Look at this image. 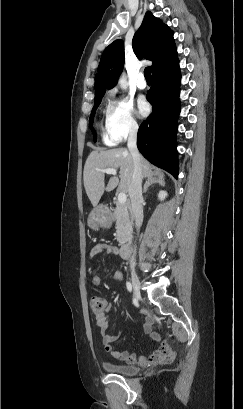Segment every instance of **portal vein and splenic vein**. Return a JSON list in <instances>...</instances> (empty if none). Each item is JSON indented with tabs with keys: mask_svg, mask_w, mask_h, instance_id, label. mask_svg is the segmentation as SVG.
Wrapping results in <instances>:
<instances>
[{
	"mask_svg": "<svg viewBox=\"0 0 243 409\" xmlns=\"http://www.w3.org/2000/svg\"><path fill=\"white\" fill-rule=\"evenodd\" d=\"M102 172L106 173V174H111V175H114V176L117 174L116 169H113V168L103 169ZM126 200H127V195L125 194V192H119V194H118V203L119 204H125Z\"/></svg>",
	"mask_w": 243,
	"mask_h": 409,
	"instance_id": "18ae733b",
	"label": "portal vein and splenic vein"
}]
</instances>
